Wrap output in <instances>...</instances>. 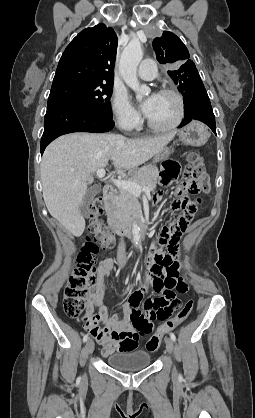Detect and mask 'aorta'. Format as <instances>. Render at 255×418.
Instances as JSON below:
<instances>
[{"label":"aorta","instance_id":"762f6f07","mask_svg":"<svg viewBox=\"0 0 255 418\" xmlns=\"http://www.w3.org/2000/svg\"><path fill=\"white\" fill-rule=\"evenodd\" d=\"M143 51L139 41H131L123 50L119 63V71L124 82L135 91L136 98L141 100L143 96L150 93L147 85H140L137 78V67L142 60ZM133 243L136 247L140 245V229L137 224L132 227Z\"/></svg>","mask_w":255,"mask_h":418}]
</instances>
